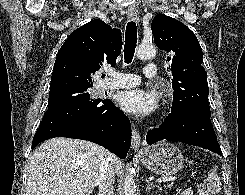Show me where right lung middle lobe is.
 I'll return each instance as SVG.
<instances>
[{"instance_id": "dd1d6c3e", "label": "right lung middle lobe", "mask_w": 245, "mask_h": 195, "mask_svg": "<svg viewBox=\"0 0 245 195\" xmlns=\"http://www.w3.org/2000/svg\"><path fill=\"white\" fill-rule=\"evenodd\" d=\"M88 88L90 87L71 88L49 94L48 109L64 104L93 100L87 91Z\"/></svg>"}]
</instances>
